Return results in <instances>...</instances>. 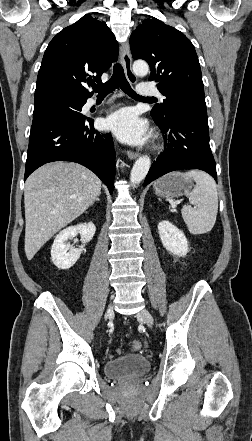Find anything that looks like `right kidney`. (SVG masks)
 <instances>
[{
	"mask_svg": "<svg viewBox=\"0 0 252 441\" xmlns=\"http://www.w3.org/2000/svg\"><path fill=\"white\" fill-rule=\"evenodd\" d=\"M96 227L93 223L79 224L70 226L62 230L56 237L51 248V257L53 264L59 269H69L79 259L83 247L72 249L66 242L75 237L78 233L81 236L83 246L90 242L95 234Z\"/></svg>",
	"mask_w": 252,
	"mask_h": 441,
	"instance_id": "1",
	"label": "right kidney"
}]
</instances>
